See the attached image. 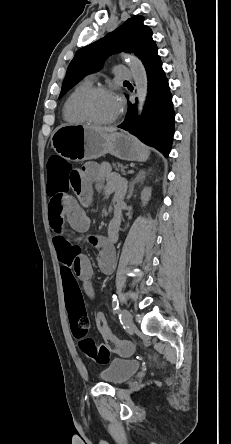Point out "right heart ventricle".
<instances>
[{"instance_id":"e07e8e85","label":"right heart ventricle","mask_w":231,"mask_h":444,"mask_svg":"<svg viewBox=\"0 0 231 444\" xmlns=\"http://www.w3.org/2000/svg\"><path fill=\"white\" fill-rule=\"evenodd\" d=\"M91 87L92 82L90 80H83L71 90L63 105V117L67 122L72 124L87 122L79 111V102L83 94Z\"/></svg>"}]
</instances>
